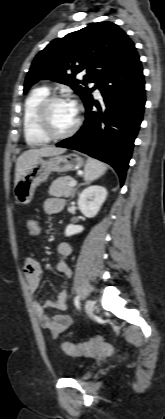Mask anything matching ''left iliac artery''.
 Returning a JSON list of instances; mask_svg holds the SVG:
<instances>
[{
    "instance_id": "left-iliac-artery-1",
    "label": "left iliac artery",
    "mask_w": 165,
    "mask_h": 419,
    "mask_svg": "<svg viewBox=\"0 0 165 419\" xmlns=\"http://www.w3.org/2000/svg\"><path fill=\"white\" fill-rule=\"evenodd\" d=\"M74 304L78 309L80 308V302H79V297L78 296L75 297Z\"/></svg>"
}]
</instances>
